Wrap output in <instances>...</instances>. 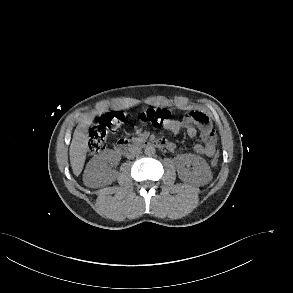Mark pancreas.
I'll return each instance as SVG.
<instances>
[{"label": "pancreas", "instance_id": "pancreas-1", "mask_svg": "<svg viewBox=\"0 0 293 293\" xmlns=\"http://www.w3.org/2000/svg\"><path fill=\"white\" fill-rule=\"evenodd\" d=\"M146 139L144 135H140L139 137L133 138L132 140L136 143L143 142Z\"/></svg>", "mask_w": 293, "mask_h": 293}]
</instances>
